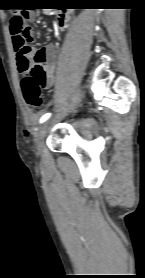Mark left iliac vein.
<instances>
[{
    "mask_svg": "<svg viewBox=\"0 0 145 278\" xmlns=\"http://www.w3.org/2000/svg\"><path fill=\"white\" fill-rule=\"evenodd\" d=\"M48 128H49V121H46L43 125H41L37 129V131L35 133L34 142H35V148H36L38 153L41 152L42 143H43V140L46 136Z\"/></svg>",
    "mask_w": 145,
    "mask_h": 278,
    "instance_id": "obj_1",
    "label": "left iliac vein"
}]
</instances>
